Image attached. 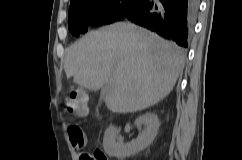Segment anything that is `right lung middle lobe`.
<instances>
[{
	"mask_svg": "<svg viewBox=\"0 0 242 160\" xmlns=\"http://www.w3.org/2000/svg\"><path fill=\"white\" fill-rule=\"evenodd\" d=\"M142 0H83L70 5L68 27L74 36L87 32L90 25H102L121 20Z\"/></svg>",
	"mask_w": 242,
	"mask_h": 160,
	"instance_id": "dd1d6c3e",
	"label": "right lung middle lobe"
}]
</instances>
